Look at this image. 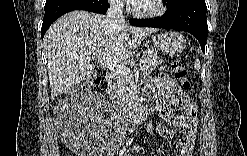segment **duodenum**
Here are the masks:
<instances>
[{
    "mask_svg": "<svg viewBox=\"0 0 247 156\" xmlns=\"http://www.w3.org/2000/svg\"><path fill=\"white\" fill-rule=\"evenodd\" d=\"M106 81L108 85H110L113 81V77L108 75ZM116 106L121 107L122 104L118 102ZM124 109L131 119L138 122L145 120L148 116L147 111L139 105L137 96L129 98L124 105Z\"/></svg>",
    "mask_w": 247,
    "mask_h": 156,
    "instance_id": "duodenum-1",
    "label": "duodenum"
}]
</instances>
